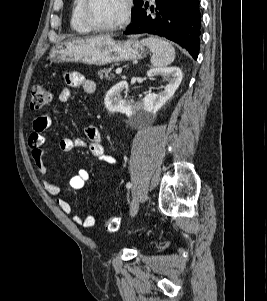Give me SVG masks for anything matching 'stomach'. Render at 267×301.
<instances>
[{
	"instance_id": "0dacf381",
	"label": "stomach",
	"mask_w": 267,
	"mask_h": 301,
	"mask_svg": "<svg viewBox=\"0 0 267 301\" xmlns=\"http://www.w3.org/2000/svg\"><path fill=\"white\" fill-rule=\"evenodd\" d=\"M147 50L142 42L135 39L115 41L110 36L87 39H68L52 47L48 59L51 62H75L88 65L142 59Z\"/></svg>"
}]
</instances>
